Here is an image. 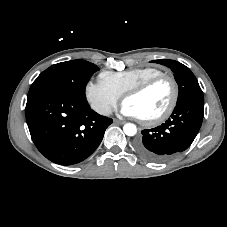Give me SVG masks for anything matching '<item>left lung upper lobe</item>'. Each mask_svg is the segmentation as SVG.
<instances>
[{"label": "left lung upper lobe", "mask_w": 227, "mask_h": 227, "mask_svg": "<svg viewBox=\"0 0 227 227\" xmlns=\"http://www.w3.org/2000/svg\"><path fill=\"white\" fill-rule=\"evenodd\" d=\"M151 62L165 65L173 71L175 80L179 86L177 104L189 98L204 99L198 81L188 67L174 60L161 59Z\"/></svg>", "instance_id": "left-lung-upper-lobe-1"}]
</instances>
